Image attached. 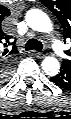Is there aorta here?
Segmentation results:
<instances>
[{
    "mask_svg": "<svg viewBox=\"0 0 71 119\" xmlns=\"http://www.w3.org/2000/svg\"><path fill=\"white\" fill-rule=\"evenodd\" d=\"M26 22L30 28L39 32H50L52 30V23L49 17L39 9L29 10L26 14ZM41 66L49 76H55L59 73L60 64L54 57H46Z\"/></svg>",
    "mask_w": 71,
    "mask_h": 119,
    "instance_id": "aorta-1",
    "label": "aorta"
}]
</instances>
